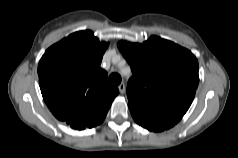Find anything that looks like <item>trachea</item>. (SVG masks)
<instances>
[{"mask_svg":"<svg viewBox=\"0 0 238 158\" xmlns=\"http://www.w3.org/2000/svg\"><path fill=\"white\" fill-rule=\"evenodd\" d=\"M111 84L117 86L121 83V76L118 73H112L109 77Z\"/></svg>","mask_w":238,"mask_h":158,"instance_id":"3493384b","label":"trachea"}]
</instances>
